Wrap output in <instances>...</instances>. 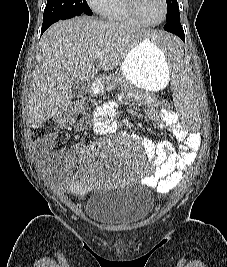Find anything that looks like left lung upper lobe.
<instances>
[{
  "mask_svg": "<svg viewBox=\"0 0 227 267\" xmlns=\"http://www.w3.org/2000/svg\"><path fill=\"white\" fill-rule=\"evenodd\" d=\"M166 2H167V15H166V21H167L180 13L177 0H166Z\"/></svg>",
  "mask_w": 227,
  "mask_h": 267,
  "instance_id": "left-lung-upper-lobe-1",
  "label": "left lung upper lobe"
}]
</instances>
